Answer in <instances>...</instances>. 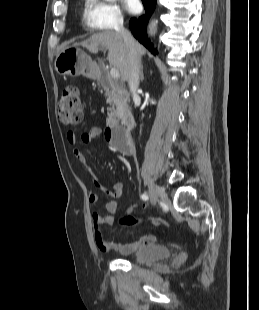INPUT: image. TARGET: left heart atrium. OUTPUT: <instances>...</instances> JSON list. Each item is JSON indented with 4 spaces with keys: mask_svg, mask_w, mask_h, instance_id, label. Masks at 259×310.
<instances>
[{
    "mask_svg": "<svg viewBox=\"0 0 259 310\" xmlns=\"http://www.w3.org/2000/svg\"><path fill=\"white\" fill-rule=\"evenodd\" d=\"M125 8L130 13H136L139 11L141 4L139 0H124Z\"/></svg>",
    "mask_w": 259,
    "mask_h": 310,
    "instance_id": "1",
    "label": "left heart atrium"
}]
</instances>
